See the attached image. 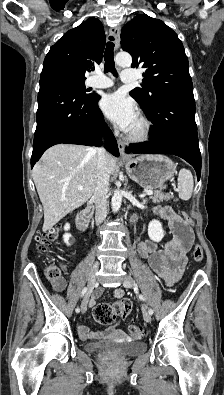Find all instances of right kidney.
<instances>
[{
    "label": "right kidney",
    "mask_w": 224,
    "mask_h": 395,
    "mask_svg": "<svg viewBox=\"0 0 224 395\" xmlns=\"http://www.w3.org/2000/svg\"><path fill=\"white\" fill-rule=\"evenodd\" d=\"M69 229H70V224H68V223L65 224L64 230H65V231H68ZM63 240H64V242H65L68 246H70L71 244H73L74 241H75V239L73 238V236H72L71 234H69V233H65V234H64Z\"/></svg>",
    "instance_id": "obj_1"
}]
</instances>
